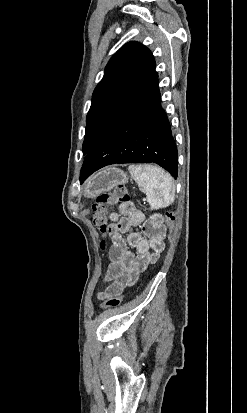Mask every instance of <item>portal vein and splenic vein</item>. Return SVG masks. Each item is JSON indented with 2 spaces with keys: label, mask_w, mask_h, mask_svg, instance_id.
<instances>
[{
  "label": "portal vein and splenic vein",
  "mask_w": 247,
  "mask_h": 413,
  "mask_svg": "<svg viewBox=\"0 0 247 413\" xmlns=\"http://www.w3.org/2000/svg\"><path fill=\"white\" fill-rule=\"evenodd\" d=\"M142 201H143V202H146V201H147V198H146V197H143V198H142Z\"/></svg>",
  "instance_id": "obj_1"
}]
</instances>
